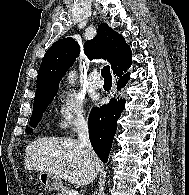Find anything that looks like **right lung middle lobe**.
Instances as JSON below:
<instances>
[{
    "label": "right lung middle lobe",
    "mask_w": 189,
    "mask_h": 195,
    "mask_svg": "<svg viewBox=\"0 0 189 195\" xmlns=\"http://www.w3.org/2000/svg\"><path fill=\"white\" fill-rule=\"evenodd\" d=\"M54 96H51L47 99H44L42 101L34 103L32 116H31L30 122H29V125L31 127L35 128L37 126V124L39 123V121L42 118L44 111L47 109L48 105L52 102ZM25 131L27 133H31L32 129L30 127H27Z\"/></svg>",
    "instance_id": "right-lung-middle-lobe-1"
}]
</instances>
